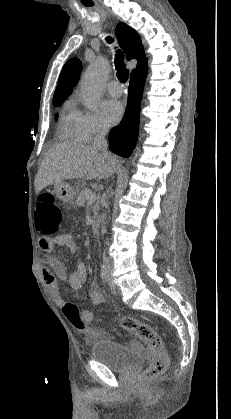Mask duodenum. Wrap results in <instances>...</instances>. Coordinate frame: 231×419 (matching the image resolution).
<instances>
[{"mask_svg": "<svg viewBox=\"0 0 231 419\" xmlns=\"http://www.w3.org/2000/svg\"><path fill=\"white\" fill-rule=\"evenodd\" d=\"M101 224L98 217H94L91 222V229L95 235H98L100 232Z\"/></svg>", "mask_w": 231, "mask_h": 419, "instance_id": "410a0bca", "label": "duodenum"}]
</instances>
